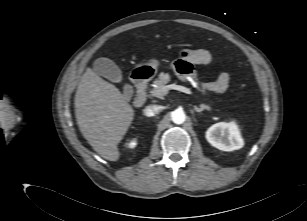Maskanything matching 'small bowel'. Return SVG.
Segmentation results:
<instances>
[{
	"mask_svg": "<svg viewBox=\"0 0 307 221\" xmlns=\"http://www.w3.org/2000/svg\"><path fill=\"white\" fill-rule=\"evenodd\" d=\"M212 63V55L206 49H193L182 51L181 59L174 64L177 73L184 75L192 73V66L204 65L209 66ZM229 85V74L221 72L217 79L205 85V88L214 93H223Z\"/></svg>",
	"mask_w": 307,
	"mask_h": 221,
	"instance_id": "1",
	"label": "small bowel"
}]
</instances>
